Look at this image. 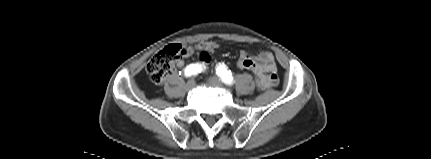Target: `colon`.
Returning <instances> with one entry per match:
<instances>
[{"mask_svg":"<svg viewBox=\"0 0 431 159\" xmlns=\"http://www.w3.org/2000/svg\"><path fill=\"white\" fill-rule=\"evenodd\" d=\"M210 52L207 48L201 47H183L179 44L169 45L162 50L155 53L146 65V71L150 76V79L156 83H161L164 78L169 74L173 68L175 61H177L182 56H190L191 54ZM208 53H203L198 58V63L203 66H208L211 61V56ZM255 83L257 85V91H261V81L256 76L253 75Z\"/></svg>","mask_w":431,"mask_h":159,"instance_id":"5ec220e1","label":"colon"}]
</instances>
